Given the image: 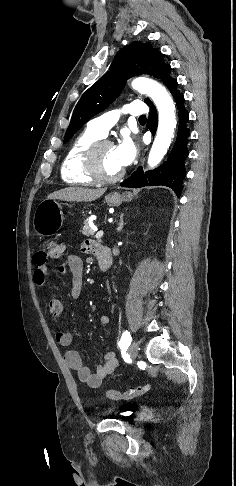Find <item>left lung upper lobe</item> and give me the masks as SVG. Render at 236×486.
Returning <instances> with one entry per match:
<instances>
[{
	"label": "left lung upper lobe",
	"mask_w": 236,
	"mask_h": 486,
	"mask_svg": "<svg viewBox=\"0 0 236 486\" xmlns=\"http://www.w3.org/2000/svg\"><path fill=\"white\" fill-rule=\"evenodd\" d=\"M107 72L84 92L77 103L64 143L93 116L106 109L119 95L124 82L135 75L148 74L165 82L170 77L171 67L163 61V54L151 43L135 41L121 49ZM145 102L151 101L147 98Z\"/></svg>",
	"instance_id": "1"
}]
</instances>
